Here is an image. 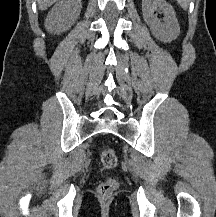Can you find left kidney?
I'll return each mask as SVG.
<instances>
[{"label":"left kidney","mask_w":216,"mask_h":217,"mask_svg":"<svg viewBox=\"0 0 216 217\" xmlns=\"http://www.w3.org/2000/svg\"><path fill=\"white\" fill-rule=\"evenodd\" d=\"M157 8L164 14L163 22L154 15ZM142 13L153 36L158 40L171 42L179 36L180 27L176 19V13L165 0H142Z\"/></svg>","instance_id":"left-kidney-1"}]
</instances>
